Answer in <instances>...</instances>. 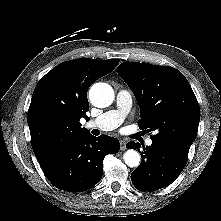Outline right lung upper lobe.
<instances>
[{
	"mask_svg": "<svg viewBox=\"0 0 221 221\" xmlns=\"http://www.w3.org/2000/svg\"><path fill=\"white\" fill-rule=\"evenodd\" d=\"M118 59H77L48 72L34 89L28 110L31 144L39 162L87 134L80 119H88L87 91L98 78L110 73Z\"/></svg>",
	"mask_w": 221,
	"mask_h": 221,
	"instance_id": "1",
	"label": "right lung upper lobe"
}]
</instances>
